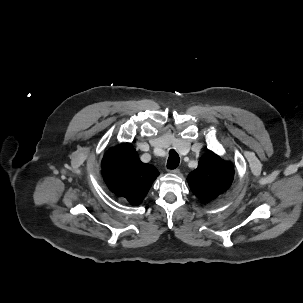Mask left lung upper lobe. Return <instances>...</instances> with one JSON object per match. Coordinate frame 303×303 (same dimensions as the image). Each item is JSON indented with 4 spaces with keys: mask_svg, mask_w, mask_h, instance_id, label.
Returning a JSON list of instances; mask_svg holds the SVG:
<instances>
[{
    "mask_svg": "<svg viewBox=\"0 0 303 303\" xmlns=\"http://www.w3.org/2000/svg\"><path fill=\"white\" fill-rule=\"evenodd\" d=\"M233 177L232 164L209 151L200 158L197 169L189 174L187 181L192 192L202 203H207L226 191Z\"/></svg>",
    "mask_w": 303,
    "mask_h": 303,
    "instance_id": "obj_1",
    "label": "left lung upper lobe"
}]
</instances>
